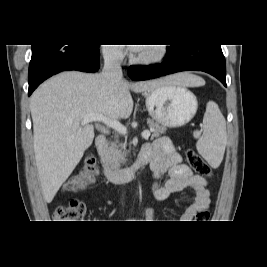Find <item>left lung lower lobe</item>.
<instances>
[{
    "mask_svg": "<svg viewBox=\"0 0 267 267\" xmlns=\"http://www.w3.org/2000/svg\"><path fill=\"white\" fill-rule=\"evenodd\" d=\"M188 70L207 72L226 86L225 58L220 45L172 44L164 62L145 67L131 66L128 74L133 80H148Z\"/></svg>",
    "mask_w": 267,
    "mask_h": 267,
    "instance_id": "1",
    "label": "left lung lower lobe"
}]
</instances>
